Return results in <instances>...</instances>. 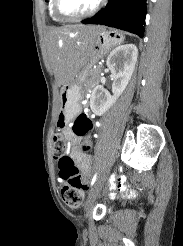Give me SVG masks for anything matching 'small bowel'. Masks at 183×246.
<instances>
[{
  "mask_svg": "<svg viewBox=\"0 0 183 246\" xmlns=\"http://www.w3.org/2000/svg\"><path fill=\"white\" fill-rule=\"evenodd\" d=\"M65 136L70 145L73 146L72 152H71V158L75 162V164L78 166V168L81 170L83 174H88L91 170L92 165V156L91 152H89V155H84V152H80L79 148L81 147L82 143L86 144V147L92 146V138L91 137H85V136H78L73 133L72 130L67 129L65 131ZM127 182V174H118V178H108V183H110V190L114 191L115 187H119L117 189L118 193H127L128 189L124 188L123 183ZM129 189L133 188L132 184L128 185ZM118 193H108V198H118Z\"/></svg>",
  "mask_w": 183,
  "mask_h": 246,
  "instance_id": "small-bowel-1",
  "label": "small bowel"
}]
</instances>
